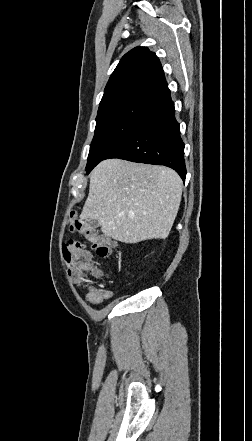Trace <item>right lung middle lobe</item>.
<instances>
[{"label": "right lung middle lobe", "mask_w": 252, "mask_h": 441, "mask_svg": "<svg viewBox=\"0 0 252 441\" xmlns=\"http://www.w3.org/2000/svg\"><path fill=\"white\" fill-rule=\"evenodd\" d=\"M146 100H134L98 112L86 171L89 173L117 147L137 123Z\"/></svg>", "instance_id": "dd1d6c3e"}]
</instances>
